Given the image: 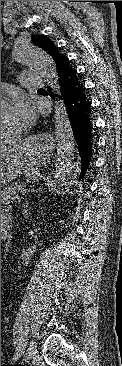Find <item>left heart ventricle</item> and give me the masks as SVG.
<instances>
[{
  "label": "left heart ventricle",
  "mask_w": 122,
  "mask_h": 366,
  "mask_svg": "<svg viewBox=\"0 0 122 366\" xmlns=\"http://www.w3.org/2000/svg\"><path fill=\"white\" fill-rule=\"evenodd\" d=\"M19 120L14 110V103L1 107V138L16 136Z\"/></svg>",
  "instance_id": "b2bd125f"
}]
</instances>
